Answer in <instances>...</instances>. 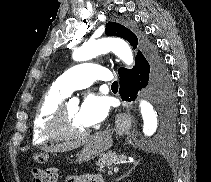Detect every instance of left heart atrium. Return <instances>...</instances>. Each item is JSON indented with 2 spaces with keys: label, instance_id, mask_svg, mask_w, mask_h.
Masks as SVG:
<instances>
[{
  "label": "left heart atrium",
  "instance_id": "39dd6f15",
  "mask_svg": "<svg viewBox=\"0 0 211 182\" xmlns=\"http://www.w3.org/2000/svg\"><path fill=\"white\" fill-rule=\"evenodd\" d=\"M109 110L106 96L96 93H89L78 108V119L86 126L91 127L101 122Z\"/></svg>",
  "mask_w": 211,
  "mask_h": 182
}]
</instances>
